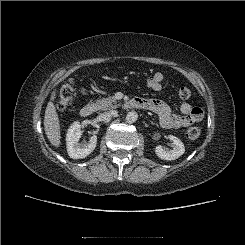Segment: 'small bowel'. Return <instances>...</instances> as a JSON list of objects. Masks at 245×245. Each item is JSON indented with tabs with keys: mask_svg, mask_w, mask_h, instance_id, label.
Here are the masks:
<instances>
[{
	"mask_svg": "<svg viewBox=\"0 0 245 245\" xmlns=\"http://www.w3.org/2000/svg\"><path fill=\"white\" fill-rule=\"evenodd\" d=\"M165 82V76L161 72H155L148 79V86L155 90L161 91ZM146 106L143 109L150 110L159 116L160 125L164 129H178L190 126L195 122L202 120L204 111L198 106L189 103H183L180 106L181 115L173 114L167 103L159 99L139 98Z\"/></svg>",
	"mask_w": 245,
	"mask_h": 245,
	"instance_id": "small-bowel-1",
	"label": "small bowel"
}]
</instances>
